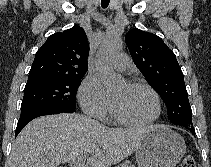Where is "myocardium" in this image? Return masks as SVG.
<instances>
[{
    "label": "myocardium",
    "instance_id": "1",
    "mask_svg": "<svg viewBox=\"0 0 211 167\" xmlns=\"http://www.w3.org/2000/svg\"><path fill=\"white\" fill-rule=\"evenodd\" d=\"M126 84L129 87L144 88V89L148 90L153 95V97L155 99L156 113L149 120L133 121V120L127 119V118L123 117L122 115H120L118 113V111L116 110L115 106L113 105V114H114L115 118L117 119V121L124 125L137 126V127L148 126L150 124H153L155 121H157L162 112V105H161V100H160V96H159L158 92L151 85H149L145 82H142V81L131 80V81H128Z\"/></svg>",
    "mask_w": 211,
    "mask_h": 167
}]
</instances>
